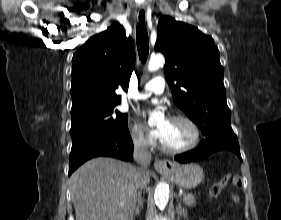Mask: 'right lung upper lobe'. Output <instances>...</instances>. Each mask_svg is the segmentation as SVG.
Wrapping results in <instances>:
<instances>
[{
	"instance_id": "cb5924a9",
	"label": "right lung upper lobe",
	"mask_w": 281,
	"mask_h": 220,
	"mask_svg": "<svg viewBox=\"0 0 281 220\" xmlns=\"http://www.w3.org/2000/svg\"><path fill=\"white\" fill-rule=\"evenodd\" d=\"M134 66L133 40L118 22L91 37L72 59V118L115 109Z\"/></svg>"
}]
</instances>
